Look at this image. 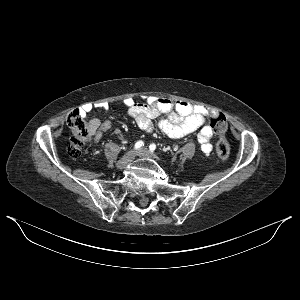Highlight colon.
Listing matches in <instances>:
<instances>
[{"label": "colon", "instance_id": "1", "mask_svg": "<svg viewBox=\"0 0 300 300\" xmlns=\"http://www.w3.org/2000/svg\"><path fill=\"white\" fill-rule=\"evenodd\" d=\"M68 127L72 130L71 142L68 147V154L72 158H79L82 155L84 146L90 137L89 124L79 110H73L66 119ZM210 127L215 133L221 135L226 130V118L222 113H216L210 117ZM216 153L222 160L230 155L229 143L220 138L216 145Z\"/></svg>", "mask_w": 300, "mask_h": 300}]
</instances>
